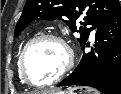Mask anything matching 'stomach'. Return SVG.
I'll use <instances>...</instances> for the list:
<instances>
[{
  "label": "stomach",
  "mask_w": 121,
  "mask_h": 94,
  "mask_svg": "<svg viewBox=\"0 0 121 94\" xmlns=\"http://www.w3.org/2000/svg\"><path fill=\"white\" fill-rule=\"evenodd\" d=\"M54 94H99V93L95 90L87 91L79 87H74L67 91L55 92Z\"/></svg>",
  "instance_id": "1"
}]
</instances>
